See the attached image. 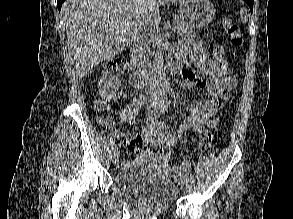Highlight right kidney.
I'll use <instances>...</instances> for the list:
<instances>
[{"mask_svg":"<svg viewBox=\"0 0 293 219\" xmlns=\"http://www.w3.org/2000/svg\"><path fill=\"white\" fill-rule=\"evenodd\" d=\"M98 87L100 96L108 101L121 94V81L108 72L103 73L98 82Z\"/></svg>","mask_w":293,"mask_h":219,"instance_id":"ca27d5eb","label":"right kidney"}]
</instances>
